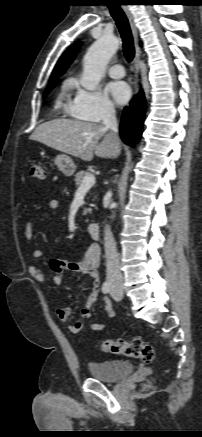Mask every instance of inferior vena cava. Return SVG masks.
I'll return each instance as SVG.
<instances>
[{
	"label": "inferior vena cava",
	"instance_id": "inferior-vena-cava-1",
	"mask_svg": "<svg viewBox=\"0 0 202 437\" xmlns=\"http://www.w3.org/2000/svg\"><path fill=\"white\" fill-rule=\"evenodd\" d=\"M102 121L104 127L108 130H111L114 137L118 139V123L115 116V109L112 106H108L105 108L102 116ZM107 196H111V192H108ZM104 247L106 255L107 280L111 283L121 282L122 275L120 271L116 243L108 226H106L104 230Z\"/></svg>",
	"mask_w": 202,
	"mask_h": 437
}]
</instances>
